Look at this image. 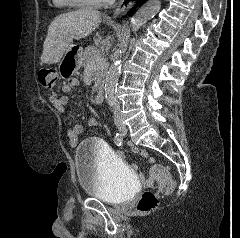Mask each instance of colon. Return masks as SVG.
Instances as JSON below:
<instances>
[{
  "label": "colon",
  "instance_id": "1",
  "mask_svg": "<svg viewBox=\"0 0 240 238\" xmlns=\"http://www.w3.org/2000/svg\"><path fill=\"white\" fill-rule=\"evenodd\" d=\"M56 73L49 68H42L38 72V80L41 86L47 90H51L56 83ZM150 179L157 182L158 189L162 194H169L174 188L173 179L166 167L162 165H154L150 170ZM158 206L157 195L150 190H146L140 196L136 209L140 213H148Z\"/></svg>",
  "mask_w": 240,
  "mask_h": 238
}]
</instances>
